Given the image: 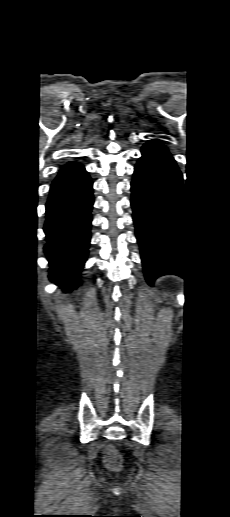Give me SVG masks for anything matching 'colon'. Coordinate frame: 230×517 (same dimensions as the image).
I'll return each instance as SVG.
<instances>
[{
  "mask_svg": "<svg viewBox=\"0 0 230 517\" xmlns=\"http://www.w3.org/2000/svg\"><path fill=\"white\" fill-rule=\"evenodd\" d=\"M104 463L110 470L117 471L122 467V458L114 447H108L105 450Z\"/></svg>",
  "mask_w": 230,
  "mask_h": 517,
  "instance_id": "1",
  "label": "colon"
}]
</instances>
